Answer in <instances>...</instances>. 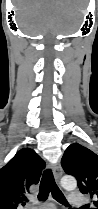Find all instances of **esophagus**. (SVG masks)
Listing matches in <instances>:
<instances>
[{
  "mask_svg": "<svg viewBox=\"0 0 98 209\" xmlns=\"http://www.w3.org/2000/svg\"><path fill=\"white\" fill-rule=\"evenodd\" d=\"M53 172H54V177L56 181L59 182L62 176V169H61L60 164H55L53 166Z\"/></svg>",
  "mask_w": 98,
  "mask_h": 209,
  "instance_id": "1",
  "label": "esophagus"
}]
</instances>
